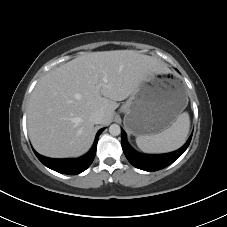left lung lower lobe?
<instances>
[{"mask_svg":"<svg viewBox=\"0 0 227 227\" xmlns=\"http://www.w3.org/2000/svg\"><path fill=\"white\" fill-rule=\"evenodd\" d=\"M192 135L186 144L179 150L161 155H146L135 151L127 142L126 134L121 130V144L128 161L135 167L145 171H157L177 160L187 149L190 144Z\"/></svg>","mask_w":227,"mask_h":227,"instance_id":"obj_1","label":"left lung lower lobe"}]
</instances>
